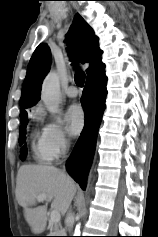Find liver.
I'll list each match as a JSON object with an SVG mask.
<instances>
[{
  "label": "liver",
  "mask_w": 158,
  "mask_h": 237,
  "mask_svg": "<svg viewBox=\"0 0 158 237\" xmlns=\"http://www.w3.org/2000/svg\"><path fill=\"white\" fill-rule=\"evenodd\" d=\"M77 186L63 170L48 165H22L16 179V198L24 208V217L35 234L47 225V204L53 211L65 214L76 193ZM46 194V204L32 207L37 196Z\"/></svg>",
  "instance_id": "1"
}]
</instances>
